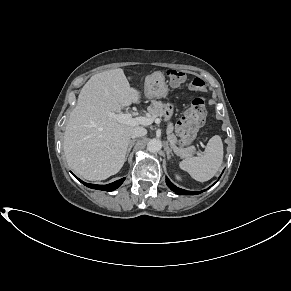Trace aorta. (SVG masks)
<instances>
[{"label":"aorta","mask_w":291,"mask_h":291,"mask_svg":"<svg viewBox=\"0 0 291 291\" xmlns=\"http://www.w3.org/2000/svg\"><path fill=\"white\" fill-rule=\"evenodd\" d=\"M162 148V142L159 139H151L147 144V150L149 152L155 153Z\"/></svg>","instance_id":"1"}]
</instances>
